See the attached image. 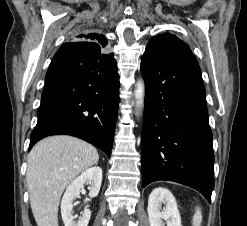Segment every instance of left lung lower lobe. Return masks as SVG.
Here are the masks:
<instances>
[{"label":"left lung lower lobe","instance_id":"1","mask_svg":"<svg viewBox=\"0 0 247 226\" xmlns=\"http://www.w3.org/2000/svg\"><path fill=\"white\" fill-rule=\"evenodd\" d=\"M143 187L157 180L198 190L211 203L214 154L205 87L193 54L145 50Z\"/></svg>","mask_w":247,"mask_h":226}]
</instances>
